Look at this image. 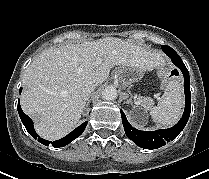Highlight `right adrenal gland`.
I'll list each match as a JSON object with an SVG mask.
<instances>
[{
  "instance_id": "1",
  "label": "right adrenal gland",
  "mask_w": 209,
  "mask_h": 179,
  "mask_svg": "<svg viewBox=\"0 0 209 179\" xmlns=\"http://www.w3.org/2000/svg\"><path fill=\"white\" fill-rule=\"evenodd\" d=\"M89 103H90V100H89V97H88V99H87V102H86V107H88V105H89Z\"/></svg>"
}]
</instances>
